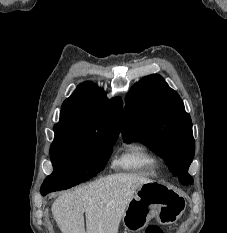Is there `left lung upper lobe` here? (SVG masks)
Listing matches in <instances>:
<instances>
[{
	"label": "left lung upper lobe",
	"instance_id": "5c2ea615",
	"mask_svg": "<svg viewBox=\"0 0 227 233\" xmlns=\"http://www.w3.org/2000/svg\"><path fill=\"white\" fill-rule=\"evenodd\" d=\"M122 137L161 156L183 185L193 183L188 174L195 153L192 121L180 96L160 75L142 78L127 95Z\"/></svg>",
	"mask_w": 227,
	"mask_h": 233
}]
</instances>
